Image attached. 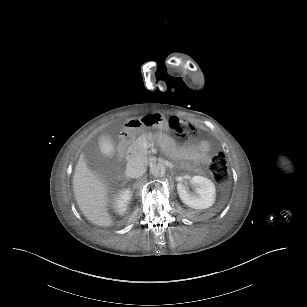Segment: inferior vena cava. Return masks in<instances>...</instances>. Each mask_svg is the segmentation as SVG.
<instances>
[{
	"label": "inferior vena cava",
	"instance_id": "inferior-vena-cava-1",
	"mask_svg": "<svg viewBox=\"0 0 307 307\" xmlns=\"http://www.w3.org/2000/svg\"><path fill=\"white\" fill-rule=\"evenodd\" d=\"M146 172L144 161L140 157L132 158L127 162L126 173L131 178H140Z\"/></svg>",
	"mask_w": 307,
	"mask_h": 307
}]
</instances>
